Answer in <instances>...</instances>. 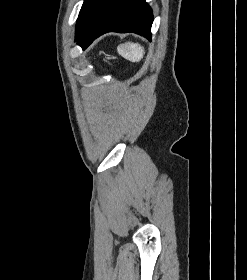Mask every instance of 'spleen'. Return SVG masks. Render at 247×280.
I'll return each mask as SVG.
<instances>
[{
  "instance_id": "3e777b00",
  "label": "spleen",
  "mask_w": 247,
  "mask_h": 280,
  "mask_svg": "<svg viewBox=\"0 0 247 280\" xmlns=\"http://www.w3.org/2000/svg\"><path fill=\"white\" fill-rule=\"evenodd\" d=\"M118 53L125 59L132 62H139L143 59L144 48L138 43L127 42L117 47Z\"/></svg>"
}]
</instances>
